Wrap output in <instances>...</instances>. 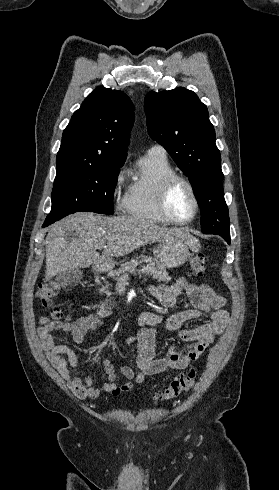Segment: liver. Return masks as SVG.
Instances as JSON below:
<instances>
[{"label":"liver","instance_id":"6515ba94","mask_svg":"<svg viewBox=\"0 0 279 490\" xmlns=\"http://www.w3.org/2000/svg\"><path fill=\"white\" fill-rule=\"evenodd\" d=\"M67 230H76L78 240L67 242L64 238ZM171 238H184L194 252L199 248L196 238L186 228L169 230L135 216L103 218L92 212H77L50 226L45 242V280L68 270L89 268L92 264L98 270H111L106 264L112 256H126L144 244L166 242ZM101 248L102 256L97 252Z\"/></svg>","mask_w":279,"mask_h":490}]
</instances>
